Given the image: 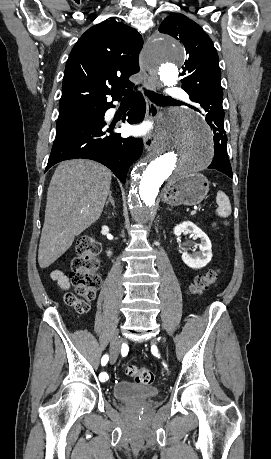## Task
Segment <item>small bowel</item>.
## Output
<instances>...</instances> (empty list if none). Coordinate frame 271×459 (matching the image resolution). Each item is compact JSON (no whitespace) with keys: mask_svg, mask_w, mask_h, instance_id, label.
Returning a JSON list of instances; mask_svg holds the SVG:
<instances>
[{"mask_svg":"<svg viewBox=\"0 0 271 459\" xmlns=\"http://www.w3.org/2000/svg\"><path fill=\"white\" fill-rule=\"evenodd\" d=\"M51 277L62 289L69 288V280L61 271L54 270Z\"/></svg>","mask_w":271,"mask_h":459,"instance_id":"small-bowel-1","label":"small bowel"}]
</instances>
